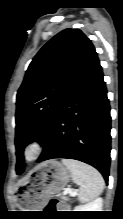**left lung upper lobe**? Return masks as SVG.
I'll return each mask as SVG.
<instances>
[{
  "mask_svg": "<svg viewBox=\"0 0 123 219\" xmlns=\"http://www.w3.org/2000/svg\"><path fill=\"white\" fill-rule=\"evenodd\" d=\"M97 59L89 38L79 29H65L45 44L30 63L16 101L17 173L23 171L24 147L44 145L56 115L72 87Z\"/></svg>",
  "mask_w": 123,
  "mask_h": 219,
  "instance_id": "1",
  "label": "left lung upper lobe"
}]
</instances>
